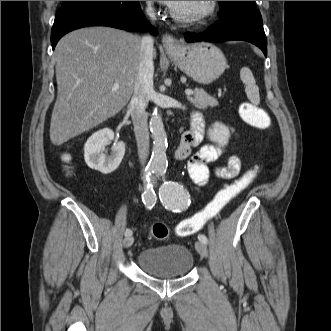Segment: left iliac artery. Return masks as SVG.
<instances>
[{
    "label": "left iliac artery",
    "instance_id": "obj_1",
    "mask_svg": "<svg viewBox=\"0 0 331 331\" xmlns=\"http://www.w3.org/2000/svg\"><path fill=\"white\" fill-rule=\"evenodd\" d=\"M166 170L157 169L156 175L163 176ZM160 200L166 209L171 210L174 213H180L190 205V199L188 193L185 191L182 185L164 181L160 187ZM198 239L203 243L207 244L208 239L205 235L200 234Z\"/></svg>",
    "mask_w": 331,
    "mask_h": 331
}]
</instances>
